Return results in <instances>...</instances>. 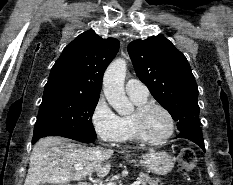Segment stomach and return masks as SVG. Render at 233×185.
<instances>
[{"label": "stomach", "instance_id": "obj_1", "mask_svg": "<svg viewBox=\"0 0 233 185\" xmlns=\"http://www.w3.org/2000/svg\"><path fill=\"white\" fill-rule=\"evenodd\" d=\"M139 162L148 172L157 175H165L174 167V158L165 151L149 150Z\"/></svg>", "mask_w": 233, "mask_h": 185}]
</instances>
